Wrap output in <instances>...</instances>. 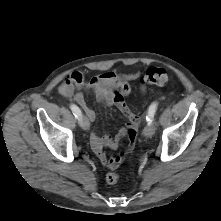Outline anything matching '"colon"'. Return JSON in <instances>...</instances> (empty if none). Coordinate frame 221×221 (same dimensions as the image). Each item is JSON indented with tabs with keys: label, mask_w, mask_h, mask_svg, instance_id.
<instances>
[{
	"label": "colon",
	"mask_w": 221,
	"mask_h": 221,
	"mask_svg": "<svg viewBox=\"0 0 221 221\" xmlns=\"http://www.w3.org/2000/svg\"><path fill=\"white\" fill-rule=\"evenodd\" d=\"M141 80L143 83L149 85L161 86L168 82L169 74L163 68L150 67L146 70ZM129 92H130V86L129 84L125 83L120 87L114 99L116 105L125 115H128L129 108L125 102L124 97L127 94H129ZM138 125H139V119L137 117L135 122L127 129L128 145L126 149L122 151L119 155L113 156L108 160V166H109L108 168H110L111 170L108 171L105 176L107 184L114 185L118 182L119 175L115 171H113V169H115L119 165V163L124 159L126 154H128L132 150L137 138Z\"/></svg>",
	"instance_id": "1"
}]
</instances>
